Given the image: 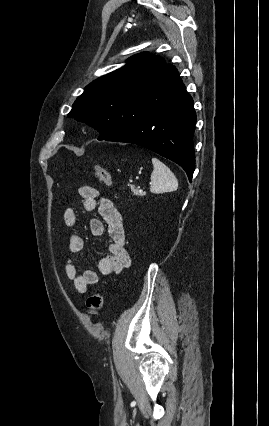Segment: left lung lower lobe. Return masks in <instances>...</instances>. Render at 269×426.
Returning <instances> with one entry per match:
<instances>
[{
	"label": "left lung lower lobe",
	"mask_w": 269,
	"mask_h": 426,
	"mask_svg": "<svg viewBox=\"0 0 269 426\" xmlns=\"http://www.w3.org/2000/svg\"><path fill=\"white\" fill-rule=\"evenodd\" d=\"M195 123L192 97L177 69L166 64L147 87L133 95L114 133L102 140L148 148L180 165L191 182Z\"/></svg>",
	"instance_id": "1"
}]
</instances>
